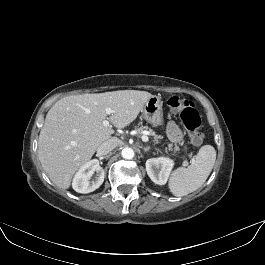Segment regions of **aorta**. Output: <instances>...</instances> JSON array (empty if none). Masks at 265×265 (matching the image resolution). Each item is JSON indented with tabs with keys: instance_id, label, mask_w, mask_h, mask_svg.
Returning a JSON list of instances; mask_svg holds the SVG:
<instances>
[{
	"instance_id": "obj_1",
	"label": "aorta",
	"mask_w": 265,
	"mask_h": 265,
	"mask_svg": "<svg viewBox=\"0 0 265 265\" xmlns=\"http://www.w3.org/2000/svg\"><path fill=\"white\" fill-rule=\"evenodd\" d=\"M121 155L124 159L129 160V159H132L134 157V151H133V149L126 147V148L122 149Z\"/></svg>"
}]
</instances>
